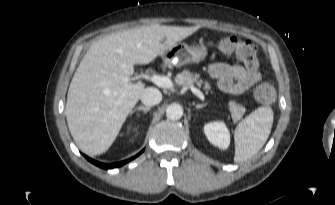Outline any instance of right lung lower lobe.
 I'll list each match as a JSON object with an SVG mask.
<instances>
[{
    "mask_svg": "<svg viewBox=\"0 0 335 205\" xmlns=\"http://www.w3.org/2000/svg\"><path fill=\"white\" fill-rule=\"evenodd\" d=\"M142 152H143V151H141V152H140L139 154H137L136 156H134V157H132V158H129V159L125 160V161L118 162V163H112V164H104V163H100V162L95 161V160H93V159H91V158H89L88 156H85V155H84V157H85L88 161H90L91 163H93V164H95V165H97V166H99V167H101V168H103V169H110V168L120 167V166H122V165L128 163L129 161L133 160V159L136 158L138 155H140Z\"/></svg>",
    "mask_w": 335,
    "mask_h": 205,
    "instance_id": "98d812e1",
    "label": "right lung lower lobe"
}]
</instances>
